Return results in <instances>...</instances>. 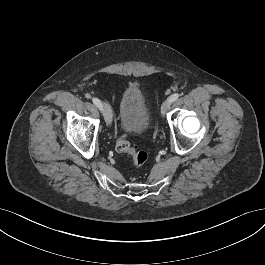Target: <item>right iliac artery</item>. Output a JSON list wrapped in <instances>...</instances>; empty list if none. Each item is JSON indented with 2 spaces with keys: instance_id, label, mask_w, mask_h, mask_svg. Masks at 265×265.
Wrapping results in <instances>:
<instances>
[{
  "instance_id": "1",
  "label": "right iliac artery",
  "mask_w": 265,
  "mask_h": 265,
  "mask_svg": "<svg viewBox=\"0 0 265 265\" xmlns=\"http://www.w3.org/2000/svg\"><path fill=\"white\" fill-rule=\"evenodd\" d=\"M92 101L100 110H102V104L98 98H93Z\"/></svg>"
}]
</instances>
